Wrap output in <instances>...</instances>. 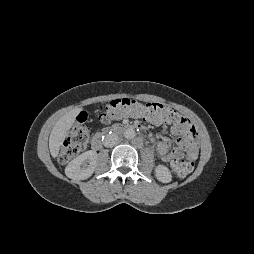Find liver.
<instances>
[{
	"label": "liver",
	"mask_w": 254,
	"mask_h": 254,
	"mask_svg": "<svg viewBox=\"0 0 254 254\" xmlns=\"http://www.w3.org/2000/svg\"><path fill=\"white\" fill-rule=\"evenodd\" d=\"M81 110L82 108H77L69 111L60 119H58V121L54 125L49 137V150L53 158H56L58 156L60 147L62 146L65 138L67 137L68 130L74 124L75 118Z\"/></svg>",
	"instance_id": "liver-1"
}]
</instances>
